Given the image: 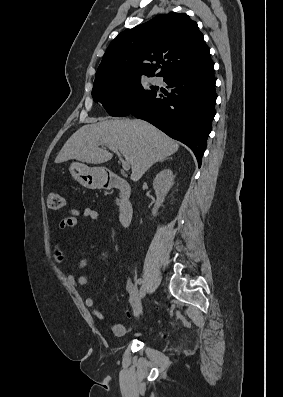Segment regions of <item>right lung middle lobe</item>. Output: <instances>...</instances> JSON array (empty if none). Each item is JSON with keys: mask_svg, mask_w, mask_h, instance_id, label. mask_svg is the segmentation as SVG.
Listing matches in <instances>:
<instances>
[{"mask_svg": "<svg viewBox=\"0 0 283 397\" xmlns=\"http://www.w3.org/2000/svg\"><path fill=\"white\" fill-rule=\"evenodd\" d=\"M145 90L141 84V77L111 81L94 82L92 96L95 102L102 103L109 115L124 117L135 108L146 103L156 93Z\"/></svg>", "mask_w": 283, "mask_h": 397, "instance_id": "obj_1", "label": "right lung middle lobe"}]
</instances>
